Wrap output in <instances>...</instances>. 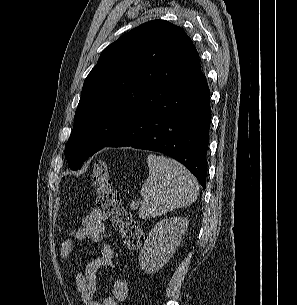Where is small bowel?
Masks as SVG:
<instances>
[{
	"label": "small bowel",
	"instance_id": "small-bowel-1",
	"mask_svg": "<svg viewBox=\"0 0 297 305\" xmlns=\"http://www.w3.org/2000/svg\"><path fill=\"white\" fill-rule=\"evenodd\" d=\"M107 214L102 209H95L87 215L80 227L74 228L63 240L60 248V258L67 259L76 241L91 239L100 245L99 258L88 263L83 271H77L75 280L80 299L84 305H118L128 297V283L123 279H115L111 290L102 299L96 298V272L100 267H113L114 250L104 241L106 234Z\"/></svg>",
	"mask_w": 297,
	"mask_h": 305
}]
</instances>
